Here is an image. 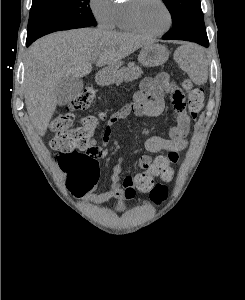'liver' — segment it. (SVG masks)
Instances as JSON below:
<instances>
[{
	"label": "liver",
	"instance_id": "6515ba94",
	"mask_svg": "<svg viewBox=\"0 0 245 300\" xmlns=\"http://www.w3.org/2000/svg\"><path fill=\"white\" fill-rule=\"evenodd\" d=\"M151 44L130 33L82 28L60 31L38 39L28 49L25 104L29 118L43 136L57 106L54 88L65 78H82L98 67L112 66Z\"/></svg>",
	"mask_w": 245,
	"mask_h": 300
}]
</instances>
